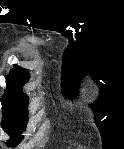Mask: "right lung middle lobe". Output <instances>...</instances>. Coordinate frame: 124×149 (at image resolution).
<instances>
[{"mask_svg":"<svg viewBox=\"0 0 124 149\" xmlns=\"http://www.w3.org/2000/svg\"><path fill=\"white\" fill-rule=\"evenodd\" d=\"M1 102L3 105L2 128L12 137L7 144L15 146L22 140L20 134L25 130L28 122V96L21 88L8 87Z\"/></svg>","mask_w":124,"mask_h":149,"instance_id":"obj_1","label":"right lung middle lobe"}]
</instances>
